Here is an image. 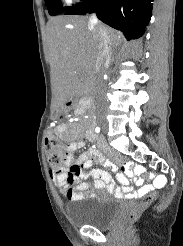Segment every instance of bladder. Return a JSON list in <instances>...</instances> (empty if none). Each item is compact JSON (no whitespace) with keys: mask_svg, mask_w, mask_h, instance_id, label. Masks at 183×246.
Masks as SVG:
<instances>
[{"mask_svg":"<svg viewBox=\"0 0 183 246\" xmlns=\"http://www.w3.org/2000/svg\"><path fill=\"white\" fill-rule=\"evenodd\" d=\"M120 210V201L107 196L95 195L89 200L85 208L70 214L74 226L107 227L117 216Z\"/></svg>","mask_w":183,"mask_h":246,"instance_id":"1","label":"bladder"}]
</instances>
